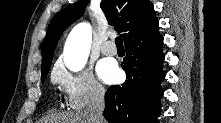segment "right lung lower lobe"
Returning <instances> with one entry per match:
<instances>
[{"label": "right lung lower lobe", "mask_w": 221, "mask_h": 123, "mask_svg": "<svg viewBox=\"0 0 221 123\" xmlns=\"http://www.w3.org/2000/svg\"><path fill=\"white\" fill-rule=\"evenodd\" d=\"M163 38L158 31L125 45L122 67L127 80L105 94L103 116L110 123H158L163 96Z\"/></svg>", "instance_id": "98d812e1"}]
</instances>
